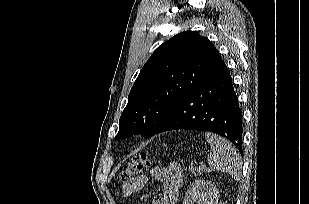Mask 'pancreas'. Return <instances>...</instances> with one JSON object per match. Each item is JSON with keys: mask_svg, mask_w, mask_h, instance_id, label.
Masks as SVG:
<instances>
[{"mask_svg": "<svg viewBox=\"0 0 309 204\" xmlns=\"http://www.w3.org/2000/svg\"><path fill=\"white\" fill-rule=\"evenodd\" d=\"M189 171H190L191 174H193V175H195V176H198V175L202 174V170L199 169V170L197 171L195 167L189 168Z\"/></svg>", "mask_w": 309, "mask_h": 204, "instance_id": "1", "label": "pancreas"}]
</instances>
